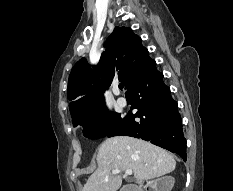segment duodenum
<instances>
[{
    "mask_svg": "<svg viewBox=\"0 0 233 191\" xmlns=\"http://www.w3.org/2000/svg\"><path fill=\"white\" fill-rule=\"evenodd\" d=\"M124 191H142V190L135 185H131V186H128Z\"/></svg>",
    "mask_w": 233,
    "mask_h": 191,
    "instance_id": "duodenum-1",
    "label": "duodenum"
}]
</instances>
